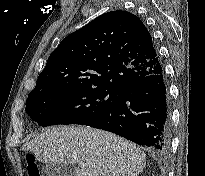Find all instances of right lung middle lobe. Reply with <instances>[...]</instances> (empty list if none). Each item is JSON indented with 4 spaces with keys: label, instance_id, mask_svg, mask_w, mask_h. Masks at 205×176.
Returning a JSON list of instances; mask_svg holds the SVG:
<instances>
[{
    "label": "right lung middle lobe",
    "instance_id": "obj_1",
    "mask_svg": "<svg viewBox=\"0 0 205 176\" xmlns=\"http://www.w3.org/2000/svg\"><path fill=\"white\" fill-rule=\"evenodd\" d=\"M110 87H74L29 95L26 113L40 126L87 123L98 117L119 94Z\"/></svg>",
    "mask_w": 205,
    "mask_h": 176
}]
</instances>
